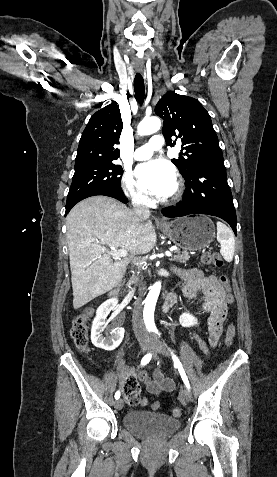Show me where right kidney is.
Masks as SVG:
<instances>
[{
	"label": "right kidney",
	"mask_w": 277,
	"mask_h": 477,
	"mask_svg": "<svg viewBox=\"0 0 277 477\" xmlns=\"http://www.w3.org/2000/svg\"><path fill=\"white\" fill-rule=\"evenodd\" d=\"M118 300L116 298L108 299L103 304H101L97 311L96 317L93 320L91 328V341L94 346L112 351L116 349L123 340L124 337V328L121 327V324H117L115 329L110 332V336L104 337L102 332L106 324L105 320L108 314L117 307Z\"/></svg>",
	"instance_id": "right-kidney-1"
}]
</instances>
